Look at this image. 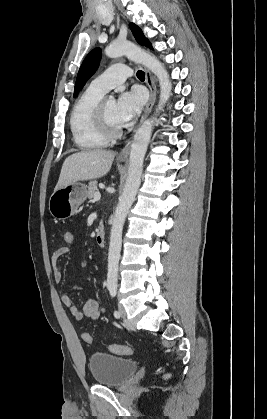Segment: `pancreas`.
I'll use <instances>...</instances> for the list:
<instances>
[{"instance_id": "1", "label": "pancreas", "mask_w": 267, "mask_h": 419, "mask_svg": "<svg viewBox=\"0 0 267 419\" xmlns=\"http://www.w3.org/2000/svg\"><path fill=\"white\" fill-rule=\"evenodd\" d=\"M97 185H98V182L96 180L89 182L88 191H87V197L89 199H92L94 197V194L97 192Z\"/></svg>"}]
</instances>
